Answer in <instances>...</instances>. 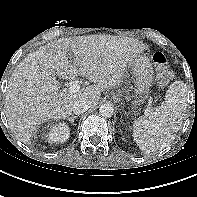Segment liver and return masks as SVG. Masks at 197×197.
<instances>
[{"label":"liver","mask_w":197,"mask_h":197,"mask_svg":"<svg viewBox=\"0 0 197 197\" xmlns=\"http://www.w3.org/2000/svg\"><path fill=\"white\" fill-rule=\"evenodd\" d=\"M75 59L71 63L68 51ZM147 46L136 39L112 35H88L62 38L30 53L12 73L6 90L5 115L15 137L31 144L39 124L71 115V107L79 98L96 106L103 89L118 87L127 66ZM55 73L73 80L79 74L94 85L77 93L59 91Z\"/></svg>","instance_id":"6515ba94"}]
</instances>
